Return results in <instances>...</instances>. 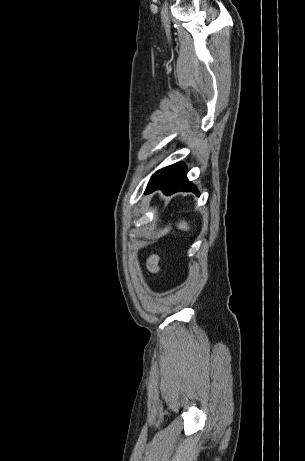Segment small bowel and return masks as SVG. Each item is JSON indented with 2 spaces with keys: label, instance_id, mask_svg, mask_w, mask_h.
I'll use <instances>...</instances> for the list:
<instances>
[{
  "label": "small bowel",
  "instance_id": "1",
  "mask_svg": "<svg viewBox=\"0 0 305 461\" xmlns=\"http://www.w3.org/2000/svg\"><path fill=\"white\" fill-rule=\"evenodd\" d=\"M159 261L160 259L158 255H152L147 261L149 271L157 273L159 271Z\"/></svg>",
  "mask_w": 305,
  "mask_h": 461
}]
</instances>
